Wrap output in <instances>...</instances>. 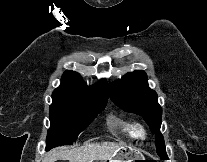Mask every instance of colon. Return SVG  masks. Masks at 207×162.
<instances>
[{"label":"colon","instance_id":"1","mask_svg":"<svg viewBox=\"0 0 207 162\" xmlns=\"http://www.w3.org/2000/svg\"><path fill=\"white\" fill-rule=\"evenodd\" d=\"M143 162H156V161H143Z\"/></svg>","mask_w":207,"mask_h":162}]
</instances>
